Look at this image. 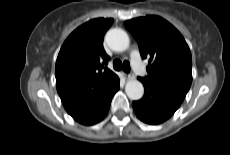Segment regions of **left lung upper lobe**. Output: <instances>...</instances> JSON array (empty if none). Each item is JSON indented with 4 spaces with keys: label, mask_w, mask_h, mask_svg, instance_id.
Segmentation results:
<instances>
[{
    "label": "left lung upper lobe",
    "mask_w": 230,
    "mask_h": 155,
    "mask_svg": "<svg viewBox=\"0 0 230 155\" xmlns=\"http://www.w3.org/2000/svg\"><path fill=\"white\" fill-rule=\"evenodd\" d=\"M126 28L139 44L142 58H148L146 82L183 101L192 83V57L180 32L159 16L128 20Z\"/></svg>",
    "instance_id": "left-lung-upper-lobe-1"
}]
</instances>
